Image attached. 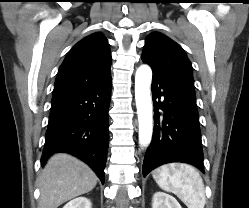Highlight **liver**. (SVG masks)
<instances>
[{"instance_id":"obj_1","label":"liver","mask_w":249,"mask_h":208,"mask_svg":"<svg viewBox=\"0 0 249 208\" xmlns=\"http://www.w3.org/2000/svg\"><path fill=\"white\" fill-rule=\"evenodd\" d=\"M97 180L92 169L76 157L55 154L49 158L38 178V208H57L66 201L93 190Z\"/></svg>"}]
</instances>
